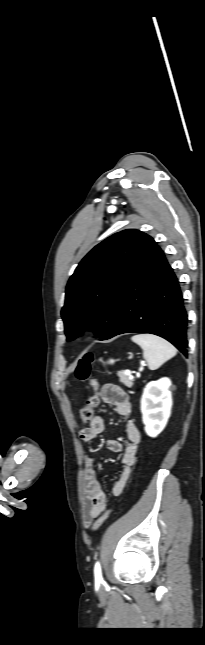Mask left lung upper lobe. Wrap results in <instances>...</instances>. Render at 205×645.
<instances>
[{
  "label": "left lung upper lobe",
  "mask_w": 205,
  "mask_h": 645,
  "mask_svg": "<svg viewBox=\"0 0 205 645\" xmlns=\"http://www.w3.org/2000/svg\"><path fill=\"white\" fill-rule=\"evenodd\" d=\"M146 234L127 229L95 246L70 277L61 315L67 341L87 328L105 340L116 329L124 286Z\"/></svg>",
  "instance_id": "1"
}]
</instances>
